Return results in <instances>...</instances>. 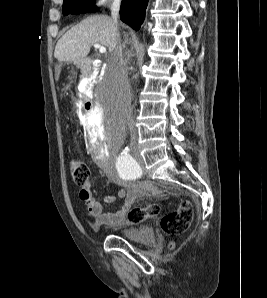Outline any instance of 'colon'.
Returning <instances> with one entry per match:
<instances>
[{"label": "colon", "instance_id": "colon-1", "mask_svg": "<svg viewBox=\"0 0 267 298\" xmlns=\"http://www.w3.org/2000/svg\"><path fill=\"white\" fill-rule=\"evenodd\" d=\"M68 167L73 182L78 186H84L89 179V169L81 160L72 158L68 162ZM160 206L156 203L145 207H135L128 211L127 220L130 224H139L146 219L158 216ZM193 218V210L190 202L181 201L178 206L166 213L161 218V228L168 235H180L190 226Z\"/></svg>", "mask_w": 267, "mask_h": 298}]
</instances>
